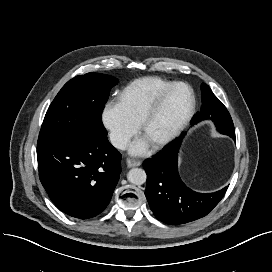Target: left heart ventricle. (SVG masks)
I'll use <instances>...</instances> for the list:
<instances>
[{
	"mask_svg": "<svg viewBox=\"0 0 272 272\" xmlns=\"http://www.w3.org/2000/svg\"><path fill=\"white\" fill-rule=\"evenodd\" d=\"M188 105L187 90L177 88L149 124L145 138L151 142L172 131L185 115Z\"/></svg>",
	"mask_w": 272,
	"mask_h": 272,
	"instance_id": "obj_1",
	"label": "left heart ventricle"
}]
</instances>
